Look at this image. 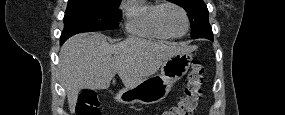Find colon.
<instances>
[{"label":"colon","mask_w":285,"mask_h":115,"mask_svg":"<svg viewBox=\"0 0 285 115\" xmlns=\"http://www.w3.org/2000/svg\"><path fill=\"white\" fill-rule=\"evenodd\" d=\"M205 68L201 61L195 60L187 75L186 85L178 102L162 112V115H192L202 97ZM76 113L78 115H98L99 107L95 94L86 90L81 93Z\"/></svg>","instance_id":"1"}]
</instances>
